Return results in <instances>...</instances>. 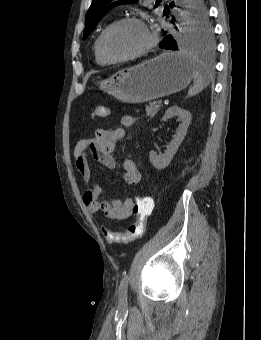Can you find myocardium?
I'll use <instances>...</instances> for the list:
<instances>
[{
  "mask_svg": "<svg viewBox=\"0 0 261 340\" xmlns=\"http://www.w3.org/2000/svg\"><path fill=\"white\" fill-rule=\"evenodd\" d=\"M126 23H136L141 25L147 32L148 36H149V41L147 43L146 46H144L142 49H140L139 51L130 54V55H126V56H121V57H115L110 55L106 49H105V39L107 37V35L116 27L122 25V24H126ZM158 41V37L157 34L149 27V25L142 20L139 17L136 16H126V17H122L119 18L115 21H113L112 23H110L108 26L105 27V29L102 31L99 40H98V49L100 54L108 61H110L111 63H118V62H126V61H130L136 58H139L143 55H145L146 53H148L156 44Z\"/></svg>",
  "mask_w": 261,
  "mask_h": 340,
  "instance_id": "1",
  "label": "myocardium"
}]
</instances>
